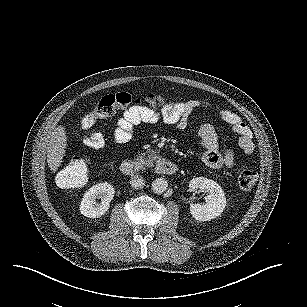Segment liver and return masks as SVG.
<instances>
[{"mask_svg": "<svg viewBox=\"0 0 307 307\" xmlns=\"http://www.w3.org/2000/svg\"><path fill=\"white\" fill-rule=\"evenodd\" d=\"M66 132L63 126L55 128L51 134V138L47 150V163L52 172H56L61 166L62 159L66 152Z\"/></svg>", "mask_w": 307, "mask_h": 307, "instance_id": "1", "label": "liver"}]
</instances>
